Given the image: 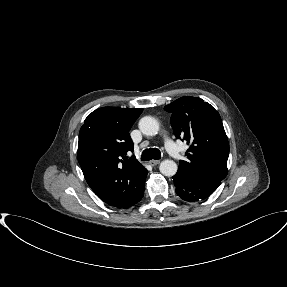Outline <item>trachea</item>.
<instances>
[{"instance_id":"trachea-1","label":"trachea","mask_w":287,"mask_h":287,"mask_svg":"<svg viewBox=\"0 0 287 287\" xmlns=\"http://www.w3.org/2000/svg\"><path fill=\"white\" fill-rule=\"evenodd\" d=\"M160 158H161V152L157 148L145 149L141 155L142 161H149L151 159H160Z\"/></svg>"}]
</instances>
